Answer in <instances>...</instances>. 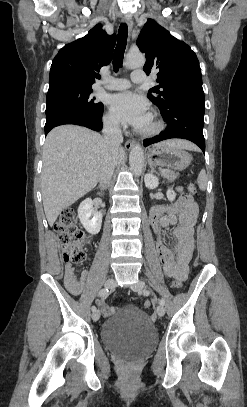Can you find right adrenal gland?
Returning a JSON list of instances; mask_svg holds the SVG:
<instances>
[{"label":"right adrenal gland","mask_w":247,"mask_h":407,"mask_svg":"<svg viewBox=\"0 0 247 407\" xmlns=\"http://www.w3.org/2000/svg\"><path fill=\"white\" fill-rule=\"evenodd\" d=\"M99 187L100 188H106L107 186H103V185L99 184Z\"/></svg>","instance_id":"1"}]
</instances>
